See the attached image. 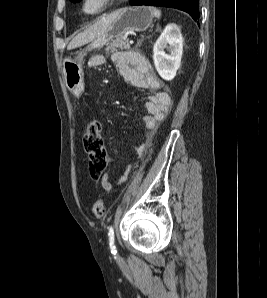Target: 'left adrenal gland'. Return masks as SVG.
<instances>
[{"label":"left adrenal gland","mask_w":267,"mask_h":298,"mask_svg":"<svg viewBox=\"0 0 267 298\" xmlns=\"http://www.w3.org/2000/svg\"><path fill=\"white\" fill-rule=\"evenodd\" d=\"M142 41H143V39H141L139 43H141Z\"/></svg>","instance_id":"a2214340"}]
</instances>
